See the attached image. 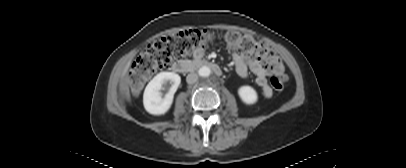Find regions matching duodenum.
Here are the masks:
<instances>
[{
  "mask_svg": "<svg viewBox=\"0 0 406 168\" xmlns=\"http://www.w3.org/2000/svg\"><path fill=\"white\" fill-rule=\"evenodd\" d=\"M203 67L212 69L217 76L222 75V70L217 64L205 60H178L172 64L171 69L178 73H188Z\"/></svg>",
  "mask_w": 406,
  "mask_h": 168,
  "instance_id": "duodenum-1",
  "label": "duodenum"
}]
</instances>
